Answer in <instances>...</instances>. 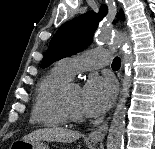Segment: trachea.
<instances>
[{
	"mask_svg": "<svg viewBox=\"0 0 155 149\" xmlns=\"http://www.w3.org/2000/svg\"><path fill=\"white\" fill-rule=\"evenodd\" d=\"M121 66V60L119 57L114 58L113 62H112V68L113 69H119Z\"/></svg>",
	"mask_w": 155,
	"mask_h": 149,
	"instance_id": "1",
	"label": "trachea"
}]
</instances>
